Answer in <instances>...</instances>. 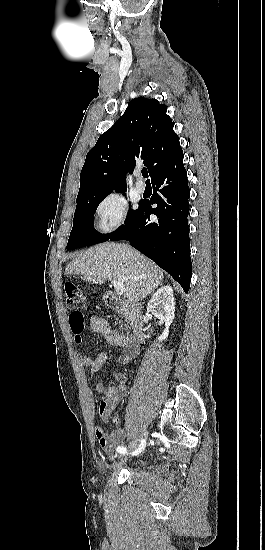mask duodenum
I'll use <instances>...</instances> for the list:
<instances>
[{"mask_svg": "<svg viewBox=\"0 0 265 550\" xmlns=\"http://www.w3.org/2000/svg\"><path fill=\"white\" fill-rule=\"evenodd\" d=\"M105 302L109 309L113 311H125L131 323L132 329V344L138 348L144 339V321L141 316L142 307L132 300L121 299L114 294L108 292L105 294Z\"/></svg>", "mask_w": 265, "mask_h": 550, "instance_id": "duodenum-1", "label": "duodenum"}]
</instances>
